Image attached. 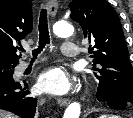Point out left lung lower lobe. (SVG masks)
I'll use <instances>...</instances> for the list:
<instances>
[{"instance_id": "left-lung-lower-lobe-1", "label": "left lung lower lobe", "mask_w": 133, "mask_h": 118, "mask_svg": "<svg viewBox=\"0 0 133 118\" xmlns=\"http://www.w3.org/2000/svg\"><path fill=\"white\" fill-rule=\"evenodd\" d=\"M104 103L108 104L114 109H124L126 107H130L129 103L125 99L117 95L107 97Z\"/></svg>"}]
</instances>
